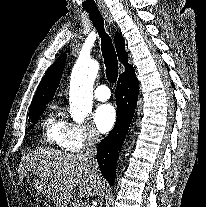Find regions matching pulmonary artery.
<instances>
[{
	"instance_id": "obj_1",
	"label": "pulmonary artery",
	"mask_w": 206,
	"mask_h": 207,
	"mask_svg": "<svg viewBox=\"0 0 206 207\" xmlns=\"http://www.w3.org/2000/svg\"><path fill=\"white\" fill-rule=\"evenodd\" d=\"M94 96L99 101H106L111 97V92L106 85H99L94 91Z\"/></svg>"
}]
</instances>
